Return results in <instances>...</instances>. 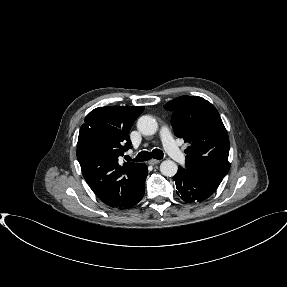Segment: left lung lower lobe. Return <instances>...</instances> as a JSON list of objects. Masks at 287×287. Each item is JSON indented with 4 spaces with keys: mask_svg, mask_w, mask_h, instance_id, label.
Returning <instances> with one entry per match:
<instances>
[{
    "mask_svg": "<svg viewBox=\"0 0 287 287\" xmlns=\"http://www.w3.org/2000/svg\"><path fill=\"white\" fill-rule=\"evenodd\" d=\"M173 180L178 196L186 202H199L207 199L222 181V179L193 175L181 166Z\"/></svg>",
    "mask_w": 287,
    "mask_h": 287,
    "instance_id": "obj_1",
    "label": "left lung lower lobe"
}]
</instances>
